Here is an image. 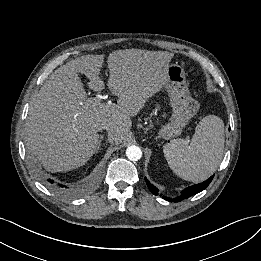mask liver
Segmentation results:
<instances>
[{"mask_svg": "<svg viewBox=\"0 0 261 261\" xmlns=\"http://www.w3.org/2000/svg\"><path fill=\"white\" fill-rule=\"evenodd\" d=\"M173 53L140 49L117 50L108 56V88L117 104L87 105L79 73L94 91L104 88L100 71L104 55H86L55 70L33 98L25 124L29 152L50 172L83 166L98 146V131L105 126L111 144L122 143L148 98L167 81Z\"/></svg>", "mask_w": 261, "mask_h": 261, "instance_id": "liver-1", "label": "liver"}]
</instances>
